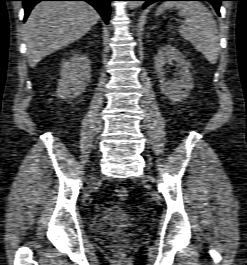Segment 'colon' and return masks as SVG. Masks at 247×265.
Segmentation results:
<instances>
[{
	"instance_id": "obj_1",
	"label": "colon",
	"mask_w": 247,
	"mask_h": 265,
	"mask_svg": "<svg viewBox=\"0 0 247 265\" xmlns=\"http://www.w3.org/2000/svg\"><path fill=\"white\" fill-rule=\"evenodd\" d=\"M117 196L121 202H126L129 198V192L126 187L119 186L117 188Z\"/></svg>"
}]
</instances>
